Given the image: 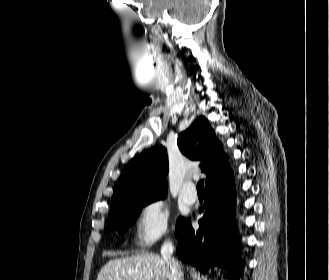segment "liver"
Here are the masks:
<instances>
[{"mask_svg": "<svg viewBox=\"0 0 329 280\" xmlns=\"http://www.w3.org/2000/svg\"><path fill=\"white\" fill-rule=\"evenodd\" d=\"M97 280H172L162 257L152 253L137 254L108 261Z\"/></svg>", "mask_w": 329, "mask_h": 280, "instance_id": "obj_1", "label": "liver"}]
</instances>
